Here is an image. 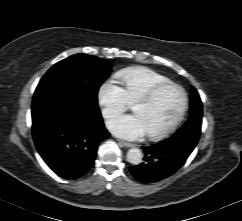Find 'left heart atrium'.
Masks as SVG:
<instances>
[{"instance_id": "1", "label": "left heart atrium", "mask_w": 242, "mask_h": 221, "mask_svg": "<svg viewBox=\"0 0 242 221\" xmlns=\"http://www.w3.org/2000/svg\"><path fill=\"white\" fill-rule=\"evenodd\" d=\"M108 129L117 137L138 140L147 134L144 122L137 114L117 115L107 122Z\"/></svg>"}]
</instances>
